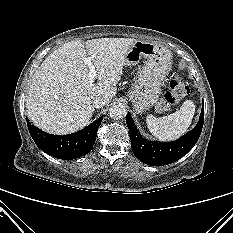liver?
I'll return each mask as SVG.
<instances>
[{
    "instance_id": "liver-1",
    "label": "liver",
    "mask_w": 233,
    "mask_h": 233,
    "mask_svg": "<svg viewBox=\"0 0 233 233\" xmlns=\"http://www.w3.org/2000/svg\"><path fill=\"white\" fill-rule=\"evenodd\" d=\"M136 41L73 40L53 51L34 73L27 91L26 109L33 124L60 135L84 128L94 112L93 99L102 97L107 104L116 95L126 54ZM86 54L96 68L97 84L89 82Z\"/></svg>"
}]
</instances>
